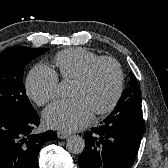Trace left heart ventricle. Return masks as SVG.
Segmentation results:
<instances>
[{"instance_id":"1","label":"left heart ventricle","mask_w":168,"mask_h":168,"mask_svg":"<svg viewBox=\"0 0 168 168\" xmlns=\"http://www.w3.org/2000/svg\"><path fill=\"white\" fill-rule=\"evenodd\" d=\"M116 85V70L110 63L97 66L86 83L73 82L70 95L82 97L93 112L104 107L112 97Z\"/></svg>"}]
</instances>
